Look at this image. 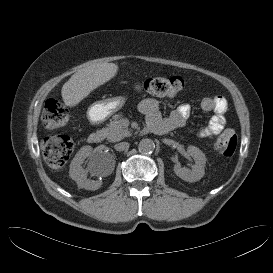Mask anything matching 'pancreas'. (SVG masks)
<instances>
[{"label":"pancreas","instance_id":"1","mask_svg":"<svg viewBox=\"0 0 273 273\" xmlns=\"http://www.w3.org/2000/svg\"><path fill=\"white\" fill-rule=\"evenodd\" d=\"M121 118V114L115 115L107 127L102 129L109 142L120 141L130 135L128 129L122 125Z\"/></svg>","mask_w":273,"mask_h":273}]
</instances>
